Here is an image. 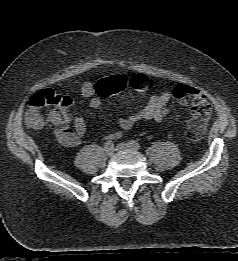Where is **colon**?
Listing matches in <instances>:
<instances>
[{"label": "colon", "mask_w": 238, "mask_h": 261, "mask_svg": "<svg viewBox=\"0 0 238 261\" xmlns=\"http://www.w3.org/2000/svg\"><path fill=\"white\" fill-rule=\"evenodd\" d=\"M128 87L139 92H148L152 88V83L142 74L135 75L130 80H125L121 76H110L96 83V92L105 98L118 94ZM173 96L179 103L190 108L191 118L187 125L189 138L194 141L200 140L211 114V106L206 96L199 89L185 84L176 85L173 88ZM70 104L69 97L58 94L52 89L39 91L29 100L27 123L32 128H40L46 120L44 115L46 108L65 110Z\"/></svg>", "instance_id": "colon-1"}]
</instances>
